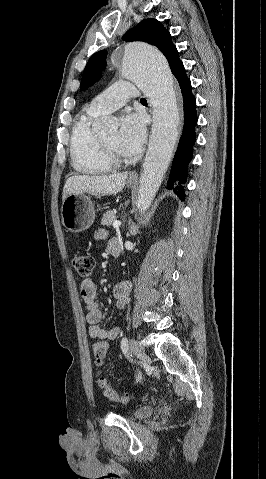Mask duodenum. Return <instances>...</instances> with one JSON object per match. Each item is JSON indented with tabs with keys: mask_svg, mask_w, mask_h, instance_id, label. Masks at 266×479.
Wrapping results in <instances>:
<instances>
[{
	"mask_svg": "<svg viewBox=\"0 0 266 479\" xmlns=\"http://www.w3.org/2000/svg\"><path fill=\"white\" fill-rule=\"evenodd\" d=\"M120 244L116 239H113L109 244V252L113 257H118L120 255Z\"/></svg>",
	"mask_w": 266,
	"mask_h": 479,
	"instance_id": "1",
	"label": "duodenum"
}]
</instances>
